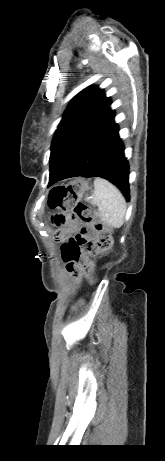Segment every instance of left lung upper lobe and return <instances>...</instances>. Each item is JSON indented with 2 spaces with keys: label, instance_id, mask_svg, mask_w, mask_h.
Wrapping results in <instances>:
<instances>
[{
  "label": "left lung upper lobe",
  "instance_id": "left-lung-upper-lobe-1",
  "mask_svg": "<svg viewBox=\"0 0 165 461\" xmlns=\"http://www.w3.org/2000/svg\"><path fill=\"white\" fill-rule=\"evenodd\" d=\"M110 99L102 89L87 87L78 93L66 109L53 138L50 155V176L80 138L109 109Z\"/></svg>",
  "mask_w": 165,
  "mask_h": 461
}]
</instances>
